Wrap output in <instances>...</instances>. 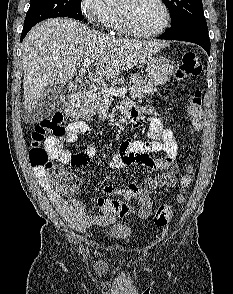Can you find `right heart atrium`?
<instances>
[{"label": "right heart atrium", "instance_id": "d8ad5b80", "mask_svg": "<svg viewBox=\"0 0 233 294\" xmlns=\"http://www.w3.org/2000/svg\"><path fill=\"white\" fill-rule=\"evenodd\" d=\"M80 12L87 22L95 27H110L112 9L104 0H80Z\"/></svg>", "mask_w": 233, "mask_h": 294}]
</instances>
